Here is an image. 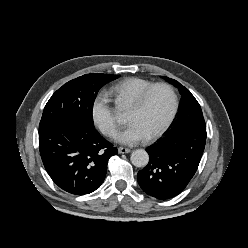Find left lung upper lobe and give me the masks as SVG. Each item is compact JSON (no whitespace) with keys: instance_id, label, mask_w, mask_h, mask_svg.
<instances>
[{"instance_id":"obj_1","label":"left lung upper lobe","mask_w":248,"mask_h":248,"mask_svg":"<svg viewBox=\"0 0 248 248\" xmlns=\"http://www.w3.org/2000/svg\"><path fill=\"white\" fill-rule=\"evenodd\" d=\"M164 79L176 86L182 96L178 117L167 134L188 127L206 130L201 107L191 92L174 79L168 77H164Z\"/></svg>"}]
</instances>
